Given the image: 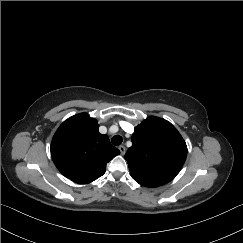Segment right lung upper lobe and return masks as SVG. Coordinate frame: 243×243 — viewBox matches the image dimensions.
Instances as JSON below:
<instances>
[{"instance_id":"cb5924a9","label":"right lung upper lobe","mask_w":243,"mask_h":243,"mask_svg":"<svg viewBox=\"0 0 243 243\" xmlns=\"http://www.w3.org/2000/svg\"><path fill=\"white\" fill-rule=\"evenodd\" d=\"M98 128L96 119L80 113L65 120L53 136V162L65 177L76 183L88 184L101 177L106 164L120 154Z\"/></svg>"}]
</instances>
